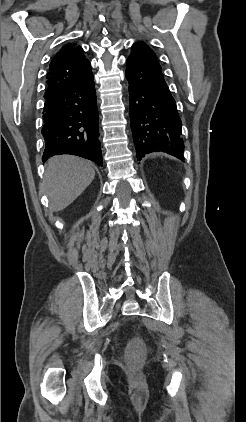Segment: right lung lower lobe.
I'll return each mask as SVG.
<instances>
[{
  "mask_svg": "<svg viewBox=\"0 0 246 422\" xmlns=\"http://www.w3.org/2000/svg\"><path fill=\"white\" fill-rule=\"evenodd\" d=\"M43 119V161L54 155L72 154L102 166L93 74L46 97Z\"/></svg>",
  "mask_w": 246,
  "mask_h": 422,
  "instance_id": "right-lung-lower-lobe-1",
  "label": "right lung lower lobe"
}]
</instances>
